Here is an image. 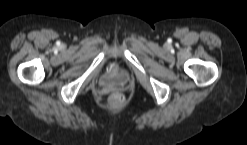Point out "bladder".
Here are the masks:
<instances>
[{
	"label": "bladder",
	"mask_w": 247,
	"mask_h": 145,
	"mask_svg": "<svg viewBox=\"0 0 247 145\" xmlns=\"http://www.w3.org/2000/svg\"><path fill=\"white\" fill-rule=\"evenodd\" d=\"M125 82V78L123 77V76H121V77H119V79H118V84H122V83H124Z\"/></svg>",
	"instance_id": "obj_1"
}]
</instances>
